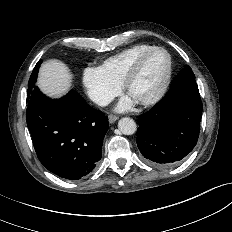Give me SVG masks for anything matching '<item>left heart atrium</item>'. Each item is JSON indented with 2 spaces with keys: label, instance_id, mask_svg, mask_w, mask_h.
Segmentation results:
<instances>
[{
  "label": "left heart atrium",
  "instance_id": "left-heart-atrium-1",
  "mask_svg": "<svg viewBox=\"0 0 232 232\" xmlns=\"http://www.w3.org/2000/svg\"><path fill=\"white\" fill-rule=\"evenodd\" d=\"M137 101L134 100L130 95L125 96L118 104L117 109L120 111L131 108Z\"/></svg>",
  "mask_w": 232,
  "mask_h": 232
}]
</instances>
